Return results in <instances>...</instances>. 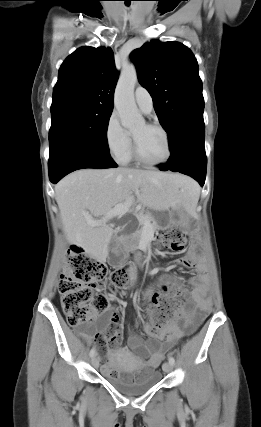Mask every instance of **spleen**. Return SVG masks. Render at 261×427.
<instances>
[{
	"instance_id": "3e777b00",
	"label": "spleen",
	"mask_w": 261,
	"mask_h": 427,
	"mask_svg": "<svg viewBox=\"0 0 261 427\" xmlns=\"http://www.w3.org/2000/svg\"><path fill=\"white\" fill-rule=\"evenodd\" d=\"M188 193L191 197L192 203H197L200 195V189L197 185L188 189Z\"/></svg>"
}]
</instances>
